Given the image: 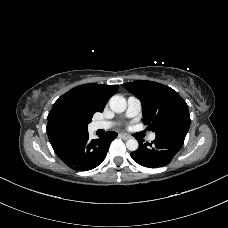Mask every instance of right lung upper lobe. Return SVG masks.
<instances>
[{"instance_id": "obj_1", "label": "right lung upper lobe", "mask_w": 228, "mask_h": 228, "mask_svg": "<svg viewBox=\"0 0 228 228\" xmlns=\"http://www.w3.org/2000/svg\"><path fill=\"white\" fill-rule=\"evenodd\" d=\"M117 85L83 84L72 88L60 96L48 114L47 133L65 129L59 121V113L64 108H73L93 116L102 112L109 98L116 93Z\"/></svg>"}]
</instances>
